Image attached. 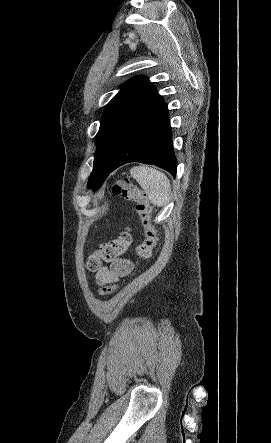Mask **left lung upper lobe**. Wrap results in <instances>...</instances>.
<instances>
[{
  "label": "left lung upper lobe",
  "instance_id": "left-lung-upper-lobe-1",
  "mask_svg": "<svg viewBox=\"0 0 271 443\" xmlns=\"http://www.w3.org/2000/svg\"><path fill=\"white\" fill-rule=\"evenodd\" d=\"M153 84L145 76L134 77L121 86L101 118L97 148L88 188L96 190L106 180L125 130L147 98Z\"/></svg>",
  "mask_w": 271,
  "mask_h": 443
}]
</instances>
